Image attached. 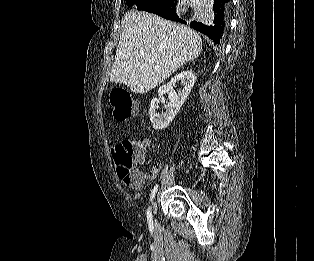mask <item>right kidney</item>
<instances>
[{"instance_id": "right-kidney-1", "label": "right kidney", "mask_w": 314, "mask_h": 261, "mask_svg": "<svg viewBox=\"0 0 314 261\" xmlns=\"http://www.w3.org/2000/svg\"><path fill=\"white\" fill-rule=\"evenodd\" d=\"M195 80V74L191 70H187L176 75L169 83L159 88V96L168 93L169 101L165 105V113L162 114H158L156 111L158 108L159 99L153 98L151 101L149 116L152 126L155 130L165 129L170 124L187 99L191 89L194 86ZM177 82H181V84L184 86L182 90L178 91V94H176L173 90V87Z\"/></svg>"}]
</instances>
